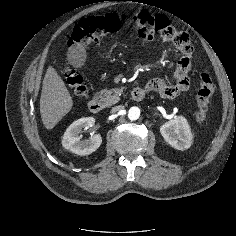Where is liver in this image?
Returning <instances> with one entry per match:
<instances>
[{
    "label": "liver",
    "instance_id": "liver-1",
    "mask_svg": "<svg viewBox=\"0 0 236 236\" xmlns=\"http://www.w3.org/2000/svg\"><path fill=\"white\" fill-rule=\"evenodd\" d=\"M73 100L56 69L49 66L42 85L40 113L46 129H53L70 112Z\"/></svg>",
    "mask_w": 236,
    "mask_h": 236
}]
</instances>
